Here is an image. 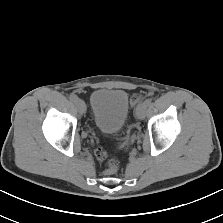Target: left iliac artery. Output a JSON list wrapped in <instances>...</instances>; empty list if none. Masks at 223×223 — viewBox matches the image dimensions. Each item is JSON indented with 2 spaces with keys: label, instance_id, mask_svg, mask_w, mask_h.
<instances>
[{
  "label": "left iliac artery",
  "instance_id": "44dca946",
  "mask_svg": "<svg viewBox=\"0 0 223 223\" xmlns=\"http://www.w3.org/2000/svg\"><path fill=\"white\" fill-rule=\"evenodd\" d=\"M151 102H152V100H151L150 98H148V99H146V100L144 101V104H145L146 106H149V105L151 104Z\"/></svg>",
  "mask_w": 223,
  "mask_h": 223
}]
</instances>
